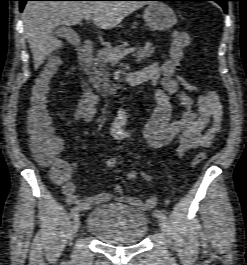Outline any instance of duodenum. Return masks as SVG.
<instances>
[{
    "mask_svg": "<svg viewBox=\"0 0 247 265\" xmlns=\"http://www.w3.org/2000/svg\"><path fill=\"white\" fill-rule=\"evenodd\" d=\"M93 53V43L91 40H85L78 48L77 66L79 77L85 93L93 92V86L89 78V65ZM126 81L131 86H139L146 83V80L137 79L133 72L126 74Z\"/></svg>",
    "mask_w": 247,
    "mask_h": 265,
    "instance_id": "410a0bca",
    "label": "duodenum"
}]
</instances>
